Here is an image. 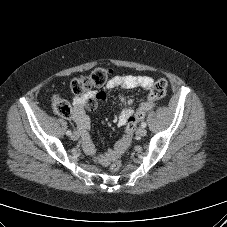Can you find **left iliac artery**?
Returning a JSON list of instances; mask_svg holds the SVG:
<instances>
[{"mask_svg": "<svg viewBox=\"0 0 227 227\" xmlns=\"http://www.w3.org/2000/svg\"><path fill=\"white\" fill-rule=\"evenodd\" d=\"M141 126L145 128L147 126V124L145 122H142Z\"/></svg>", "mask_w": 227, "mask_h": 227, "instance_id": "obj_1", "label": "left iliac artery"}]
</instances>
